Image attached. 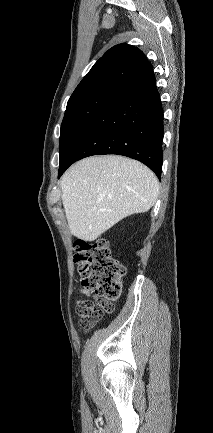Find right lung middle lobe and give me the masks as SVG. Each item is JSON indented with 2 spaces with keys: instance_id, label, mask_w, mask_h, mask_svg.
I'll list each match as a JSON object with an SVG mask.
<instances>
[{
  "instance_id": "dd1d6c3e",
  "label": "right lung middle lobe",
  "mask_w": 213,
  "mask_h": 433,
  "mask_svg": "<svg viewBox=\"0 0 213 433\" xmlns=\"http://www.w3.org/2000/svg\"><path fill=\"white\" fill-rule=\"evenodd\" d=\"M119 95L103 92L67 103L60 130V157L79 133Z\"/></svg>"
}]
</instances>
